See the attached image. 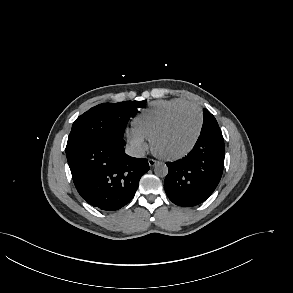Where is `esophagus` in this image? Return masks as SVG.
<instances>
[{
	"mask_svg": "<svg viewBox=\"0 0 293 293\" xmlns=\"http://www.w3.org/2000/svg\"><path fill=\"white\" fill-rule=\"evenodd\" d=\"M148 164H149L150 167H154L157 164V161L154 160V159H149Z\"/></svg>",
	"mask_w": 293,
	"mask_h": 293,
	"instance_id": "esophagus-1",
	"label": "esophagus"
}]
</instances>
